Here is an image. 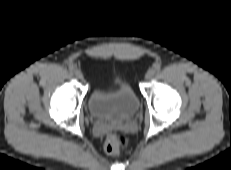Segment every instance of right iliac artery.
I'll return each mask as SVG.
<instances>
[{"label":"right iliac artery","mask_w":231,"mask_h":170,"mask_svg":"<svg viewBox=\"0 0 231 170\" xmlns=\"http://www.w3.org/2000/svg\"><path fill=\"white\" fill-rule=\"evenodd\" d=\"M69 71L70 72H74L75 71V68L73 66H69Z\"/></svg>","instance_id":"82829eb1"}]
</instances>
